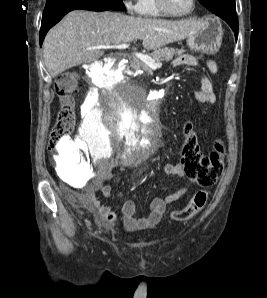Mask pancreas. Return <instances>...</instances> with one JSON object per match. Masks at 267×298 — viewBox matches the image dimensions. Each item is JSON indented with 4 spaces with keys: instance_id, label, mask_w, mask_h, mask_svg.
<instances>
[{
    "instance_id": "pancreas-1",
    "label": "pancreas",
    "mask_w": 267,
    "mask_h": 298,
    "mask_svg": "<svg viewBox=\"0 0 267 298\" xmlns=\"http://www.w3.org/2000/svg\"><path fill=\"white\" fill-rule=\"evenodd\" d=\"M184 50H178L174 48H169V47H164L162 49L155 50L152 52L149 56L154 59L155 61H162V60H171L174 55H179L183 52ZM131 68L133 70H139L143 69L144 71L151 72L150 68L142 62L138 58L133 59V63L131 64Z\"/></svg>"
}]
</instances>
